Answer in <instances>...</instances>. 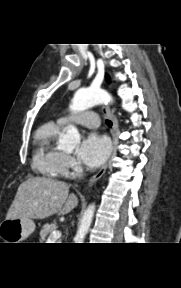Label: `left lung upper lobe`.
<instances>
[{
	"mask_svg": "<svg viewBox=\"0 0 181 288\" xmlns=\"http://www.w3.org/2000/svg\"><path fill=\"white\" fill-rule=\"evenodd\" d=\"M106 80H107V82H109V77H108V75H106Z\"/></svg>",
	"mask_w": 181,
	"mask_h": 288,
	"instance_id": "obj_1",
	"label": "left lung upper lobe"
}]
</instances>
